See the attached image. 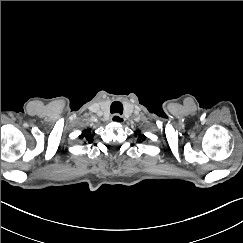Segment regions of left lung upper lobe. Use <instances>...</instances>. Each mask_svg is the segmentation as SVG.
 I'll return each instance as SVG.
<instances>
[{
	"mask_svg": "<svg viewBox=\"0 0 243 243\" xmlns=\"http://www.w3.org/2000/svg\"><path fill=\"white\" fill-rule=\"evenodd\" d=\"M136 134L139 135V141H140V140H145V139H146V137H145L144 135H141L139 131H137Z\"/></svg>",
	"mask_w": 243,
	"mask_h": 243,
	"instance_id": "1",
	"label": "left lung upper lobe"
}]
</instances>
